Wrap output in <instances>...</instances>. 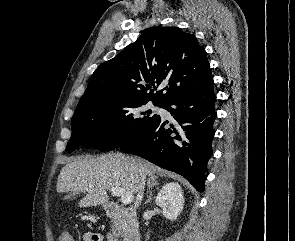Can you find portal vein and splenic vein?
Segmentation results:
<instances>
[{
	"label": "portal vein and splenic vein",
	"mask_w": 295,
	"mask_h": 241,
	"mask_svg": "<svg viewBox=\"0 0 295 241\" xmlns=\"http://www.w3.org/2000/svg\"><path fill=\"white\" fill-rule=\"evenodd\" d=\"M86 190H88V188ZM110 191L112 195L121 197V202L124 205L130 204L133 200V194L130 192H127L123 188L113 187L110 189Z\"/></svg>",
	"instance_id": "obj_1"
}]
</instances>
